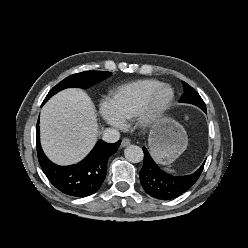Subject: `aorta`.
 <instances>
[{
  "label": "aorta",
  "instance_id": "762f6f07",
  "mask_svg": "<svg viewBox=\"0 0 248 248\" xmlns=\"http://www.w3.org/2000/svg\"><path fill=\"white\" fill-rule=\"evenodd\" d=\"M125 158L132 163H138L143 160V150L137 145H130L124 150Z\"/></svg>",
  "mask_w": 248,
  "mask_h": 248
}]
</instances>
